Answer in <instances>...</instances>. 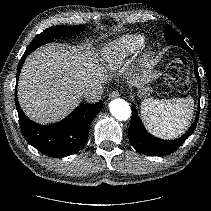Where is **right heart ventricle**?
Returning a JSON list of instances; mask_svg holds the SVG:
<instances>
[{
  "mask_svg": "<svg viewBox=\"0 0 211 211\" xmlns=\"http://www.w3.org/2000/svg\"><path fill=\"white\" fill-rule=\"evenodd\" d=\"M145 43L142 34H125L112 41L104 50L109 66L121 64L128 56L137 52Z\"/></svg>",
  "mask_w": 211,
  "mask_h": 211,
  "instance_id": "right-heart-ventricle-1",
  "label": "right heart ventricle"
}]
</instances>
